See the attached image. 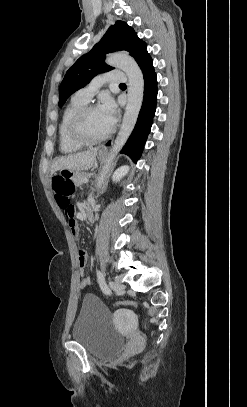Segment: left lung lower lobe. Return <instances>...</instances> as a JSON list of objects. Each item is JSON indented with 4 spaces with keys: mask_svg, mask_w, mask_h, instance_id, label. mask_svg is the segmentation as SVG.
<instances>
[{
    "mask_svg": "<svg viewBox=\"0 0 247 407\" xmlns=\"http://www.w3.org/2000/svg\"><path fill=\"white\" fill-rule=\"evenodd\" d=\"M138 65L144 75L143 103L135 128L127 143L121 150V153L128 155L134 161H137L140 158L145 142L150 133L157 100V77L154 72L150 55L146 53L139 60Z\"/></svg>",
    "mask_w": 247,
    "mask_h": 407,
    "instance_id": "obj_1",
    "label": "left lung lower lobe"
}]
</instances>
